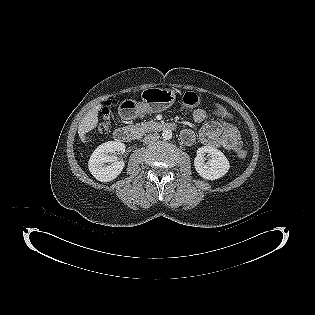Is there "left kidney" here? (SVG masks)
Returning <instances> with one entry per match:
<instances>
[{
    "label": "left kidney",
    "instance_id": "5707ae66",
    "mask_svg": "<svg viewBox=\"0 0 315 315\" xmlns=\"http://www.w3.org/2000/svg\"><path fill=\"white\" fill-rule=\"evenodd\" d=\"M206 154L210 158L205 162L204 156ZM194 165L198 174L206 180H217L230 169V163L225 155L220 150L210 146H203L197 150Z\"/></svg>",
    "mask_w": 315,
    "mask_h": 315
}]
</instances>
